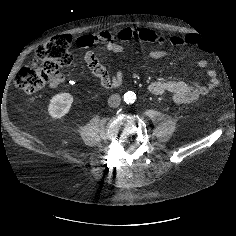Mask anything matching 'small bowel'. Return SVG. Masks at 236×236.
Instances as JSON below:
<instances>
[{
  "mask_svg": "<svg viewBox=\"0 0 236 236\" xmlns=\"http://www.w3.org/2000/svg\"><path fill=\"white\" fill-rule=\"evenodd\" d=\"M130 40H137L141 42L157 43L160 46L169 44L173 47H180L186 45H202V40L198 34L190 33L185 36H171L166 37L154 33L146 28H123L117 33H111L109 31H102L96 35H82L77 38L78 46L82 48L90 47L92 45H102L112 53H120L122 51L121 43L128 42ZM168 54V50L164 48L155 49L150 52V56L155 59L163 58ZM84 60L90 70L95 76H97L104 87H116L122 82L123 76L120 70H117L115 75L110 77L105 67L100 63L97 56L87 51L84 55ZM199 68H206L208 62L205 59H201L197 62ZM63 81L60 78L52 83L50 87L52 89L57 88ZM219 84V77L215 70H209L207 72V83L200 82H184V81H152L147 85V90L152 94L171 93L173 101L178 104H188L198 98L207 95L214 90Z\"/></svg>",
  "mask_w": 236,
  "mask_h": 236,
  "instance_id": "1",
  "label": "small bowel"
}]
</instances>
